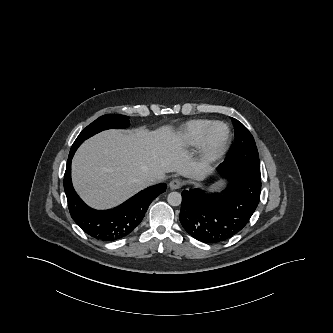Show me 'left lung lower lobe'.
I'll list each match as a JSON object with an SVG mask.
<instances>
[{
  "label": "left lung lower lobe",
  "mask_w": 333,
  "mask_h": 333,
  "mask_svg": "<svg viewBox=\"0 0 333 333\" xmlns=\"http://www.w3.org/2000/svg\"><path fill=\"white\" fill-rule=\"evenodd\" d=\"M228 186L220 193L184 190L180 222L193 238L204 243L225 241L248 223L258 206L261 176L238 163L225 160L218 167Z\"/></svg>",
  "instance_id": "0a47b994"
}]
</instances>
